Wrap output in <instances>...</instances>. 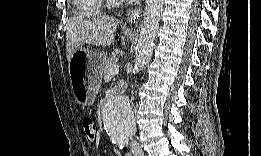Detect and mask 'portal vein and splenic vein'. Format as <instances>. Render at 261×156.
<instances>
[{"mask_svg":"<svg viewBox=\"0 0 261 156\" xmlns=\"http://www.w3.org/2000/svg\"><path fill=\"white\" fill-rule=\"evenodd\" d=\"M119 73V65H113L110 70H109V73H108V76H113V75H116Z\"/></svg>","mask_w":261,"mask_h":156,"instance_id":"18ae733b","label":"portal vein and splenic vein"}]
</instances>
